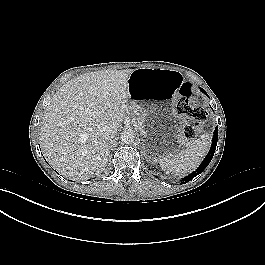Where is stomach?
<instances>
[{"instance_id": "1", "label": "stomach", "mask_w": 265, "mask_h": 265, "mask_svg": "<svg viewBox=\"0 0 265 265\" xmlns=\"http://www.w3.org/2000/svg\"><path fill=\"white\" fill-rule=\"evenodd\" d=\"M182 76L165 69L137 68L129 76L127 114L148 157L163 160L178 147L176 112L170 101L178 94Z\"/></svg>"}]
</instances>
